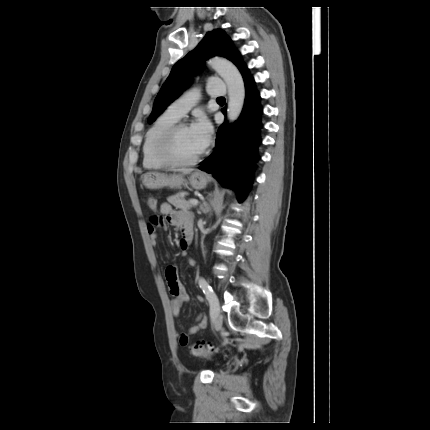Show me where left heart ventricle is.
Returning a JSON list of instances; mask_svg holds the SVG:
<instances>
[{
  "label": "left heart ventricle",
  "instance_id": "b2bd125f",
  "mask_svg": "<svg viewBox=\"0 0 430 430\" xmlns=\"http://www.w3.org/2000/svg\"><path fill=\"white\" fill-rule=\"evenodd\" d=\"M202 149L197 144L191 129H181L175 140V153L179 158L190 159L197 156Z\"/></svg>",
  "mask_w": 430,
  "mask_h": 430
}]
</instances>
